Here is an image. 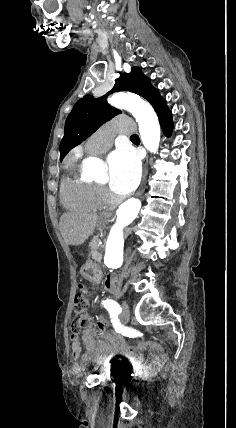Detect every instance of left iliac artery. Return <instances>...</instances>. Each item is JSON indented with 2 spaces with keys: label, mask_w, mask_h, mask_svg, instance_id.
Segmentation results:
<instances>
[{
  "label": "left iliac artery",
  "mask_w": 236,
  "mask_h": 428,
  "mask_svg": "<svg viewBox=\"0 0 236 428\" xmlns=\"http://www.w3.org/2000/svg\"><path fill=\"white\" fill-rule=\"evenodd\" d=\"M102 304L104 305V307H105L107 310L112 309V308H114L116 305H118V303H116V302H115V301H113V300H109V299H107V300L103 301V303H102Z\"/></svg>",
  "instance_id": "1"
}]
</instances>
